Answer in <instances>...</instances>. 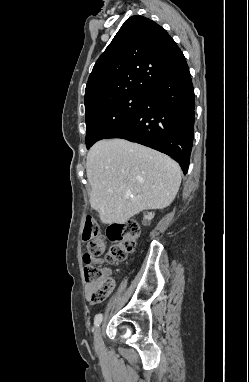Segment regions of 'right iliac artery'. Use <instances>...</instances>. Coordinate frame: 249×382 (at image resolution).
I'll use <instances>...</instances> for the list:
<instances>
[{"mask_svg":"<svg viewBox=\"0 0 249 382\" xmlns=\"http://www.w3.org/2000/svg\"><path fill=\"white\" fill-rule=\"evenodd\" d=\"M102 319H103V315L102 314H97L95 316V319H94V325L95 327H99V325L101 324L102 322Z\"/></svg>","mask_w":249,"mask_h":382,"instance_id":"obj_1","label":"right iliac artery"}]
</instances>
